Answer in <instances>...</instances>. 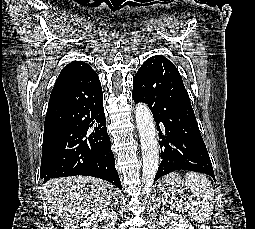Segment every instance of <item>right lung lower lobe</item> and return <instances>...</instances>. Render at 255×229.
Wrapping results in <instances>:
<instances>
[{
	"instance_id": "1",
	"label": "right lung lower lobe",
	"mask_w": 255,
	"mask_h": 229,
	"mask_svg": "<svg viewBox=\"0 0 255 229\" xmlns=\"http://www.w3.org/2000/svg\"><path fill=\"white\" fill-rule=\"evenodd\" d=\"M58 129L49 156L41 162L40 177L85 175L104 179L121 189L106 129L103 92L89 66L64 93L49 101L44 130Z\"/></svg>"
}]
</instances>
